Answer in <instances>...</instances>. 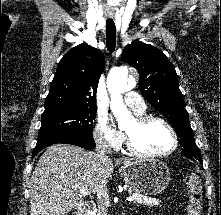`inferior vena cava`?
Returning a JSON list of instances; mask_svg holds the SVG:
<instances>
[{
  "instance_id": "inferior-vena-cava-1",
  "label": "inferior vena cava",
  "mask_w": 221,
  "mask_h": 215,
  "mask_svg": "<svg viewBox=\"0 0 221 215\" xmlns=\"http://www.w3.org/2000/svg\"><path fill=\"white\" fill-rule=\"evenodd\" d=\"M111 153H112V147H111V144L109 142L103 141V140H97L96 154H97L99 159L106 158ZM106 184H107L106 181H102L96 187L95 192H96L97 199H98L99 202H102L103 197H106L108 195Z\"/></svg>"
}]
</instances>
